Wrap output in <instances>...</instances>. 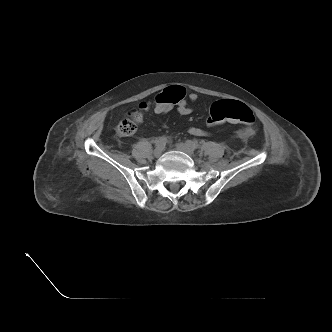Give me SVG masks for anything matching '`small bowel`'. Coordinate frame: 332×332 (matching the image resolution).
<instances>
[{
  "label": "small bowel",
  "mask_w": 332,
  "mask_h": 332,
  "mask_svg": "<svg viewBox=\"0 0 332 332\" xmlns=\"http://www.w3.org/2000/svg\"><path fill=\"white\" fill-rule=\"evenodd\" d=\"M188 100L192 103L196 102L198 100V94L196 92H191L188 95ZM173 107V104H167V103H157L155 106V112L157 114H164L169 112ZM177 111L179 114L186 116L192 113V108L189 104V102L182 98L180 101L177 102ZM188 132L193 135V136H209L210 133L204 129L191 126L188 128ZM254 134V129L252 128H245L244 130L241 131V135L244 138H248L251 135Z\"/></svg>",
  "instance_id": "obj_1"
}]
</instances>
